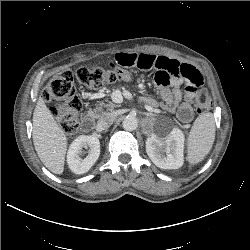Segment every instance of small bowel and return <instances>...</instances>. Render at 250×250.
Here are the masks:
<instances>
[{
    "mask_svg": "<svg viewBox=\"0 0 250 250\" xmlns=\"http://www.w3.org/2000/svg\"><path fill=\"white\" fill-rule=\"evenodd\" d=\"M110 66L118 71L132 66L143 70L154 69L155 85L162 98L161 106L167 111L176 112L178 119L183 123L192 120L191 102L203 84L201 72L193 65L166 56L120 53L115 55ZM120 71L125 75V80H128V73ZM148 102L154 103L152 99Z\"/></svg>",
    "mask_w": 250,
    "mask_h": 250,
    "instance_id": "1",
    "label": "small bowel"
}]
</instances>
